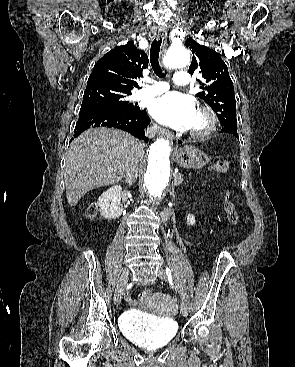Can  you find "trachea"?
I'll return each mask as SVG.
<instances>
[{
    "mask_svg": "<svg viewBox=\"0 0 295 367\" xmlns=\"http://www.w3.org/2000/svg\"><path fill=\"white\" fill-rule=\"evenodd\" d=\"M161 43H162V39H159V40L155 39L152 42L151 49H150L151 66H152V69L154 70V73L158 77L164 76L163 70L159 64V51H160Z\"/></svg>",
    "mask_w": 295,
    "mask_h": 367,
    "instance_id": "3493384b",
    "label": "trachea"
}]
</instances>
